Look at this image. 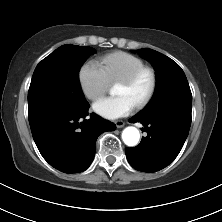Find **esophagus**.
Wrapping results in <instances>:
<instances>
[{"instance_id":"1","label":"esophagus","mask_w":222,"mask_h":222,"mask_svg":"<svg viewBox=\"0 0 222 222\" xmlns=\"http://www.w3.org/2000/svg\"><path fill=\"white\" fill-rule=\"evenodd\" d=\"M115 124L117 128H122L125 125V123L122 120L115 121Z\"/></svg>"}]
</instances>
